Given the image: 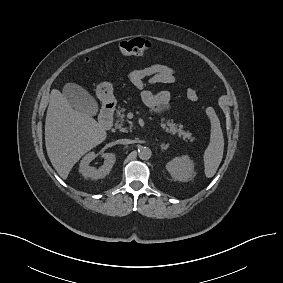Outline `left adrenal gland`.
I'll return each mask as SVG.
<instances>
[{
  "mask_svg": "<svg viewBox=\"0 0 283 283\" xmlns=\"http://www.w3.org/2000/svg\"><path fill=\"white\" fill-rule=\"evenodd\" d=\"M169 145H170V144H163V143H162V144L160 145V148H161V150H167V149L169 148Z\"/></svg>",
  "mask_w": 283,
  "mask_h": 283,
  "instance_id": "obj_1",
  "label": "left adrenal gland"
}]
</instances>
